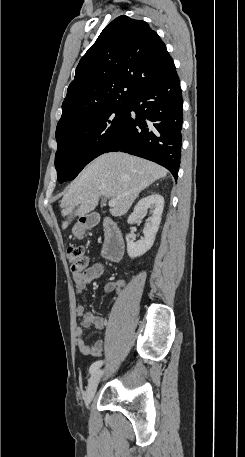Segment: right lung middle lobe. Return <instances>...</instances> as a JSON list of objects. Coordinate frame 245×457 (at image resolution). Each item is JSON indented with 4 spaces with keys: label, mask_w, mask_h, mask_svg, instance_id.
I'll return each mask as SVG.
<instances>
[{
    "label": "right lung middle lobe",
    "mask_w": 245,
    "mask_h": 457,
    "mask_svg": "<svg viewBox=\"0 0 245 457\" xmlns=\"http://www.w3.org/2000/svg\"><path fill=\"white\" fill-rule=\"evenodd\" d=\"M129 103L114 101L57 126L55 167L59 183L73 180L86 164L106 153L128 116Z\"/></svg>",
    "instance_id": "right-lung-middle-lobe-1"
}]
</instances>
